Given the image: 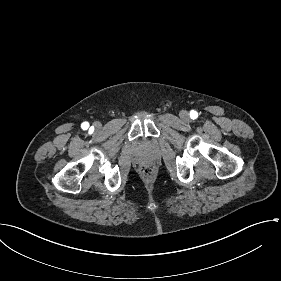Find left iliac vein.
Here are the masks:
<instances>
[{"mask_svg": "<svg viewBox=\"0 0 281 281\" xmlns=\"http://www.w3.org/2000/svg\"><path fill=\"white\" fill-rule=\"evenodd\" d=\"M180 117L181 119H183L184 121H188L189 119V113L187 111H181L180 112Z\"/></svg>", "mask_w": 281, "mask_h": 281, "instance_id": "left-iliac-vein-1", "label": "left iliac vein"}]
</instances>
